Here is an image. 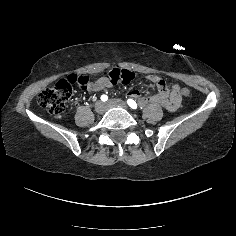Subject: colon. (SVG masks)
Wrapping results in <instances>:
<instances>
[{
	"instance_id": "1",
	"label": "colon",
	"mask_w": 236,
	"mask_h": 236,
	"mask_svg": "<svg viewBox=\"0 0 236 236\" xmlns=\"http://www.w3.org/2000/svg\"><path fill=\"white\" fill-rule=\"evenodd\" d=\"M101 79L107 80L110 84H128L135 79V74L127 69L113 68L104 72L102 77L94 79L87 75H70L58 81L54 87L44 89L38 95V104L51 115L60 117L66 110V105L73 94L74 86L87 89ZM179 93L185 98L191 96L188 88L179 89Z\"/></svg>"
}]
</instances>
